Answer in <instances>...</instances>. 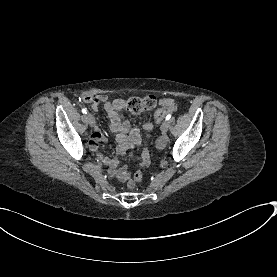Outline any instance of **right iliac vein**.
<instances>
[{
	"instance_id": "1",
	"label": "right iliac vein",
	"mask_w": 277,
	"mask_h": 277,
	"mask_svg": "<svg viewBox=\"0 0 277 277\" xmlns=\"http://www.w3.org/2000/svg\"><path fill=\"white\" fill-rule=\"evenodd\" d=\"M87 120L91 127L95 125V117L92 114L87 115Z\"/></svg>"
}]
</instances>
